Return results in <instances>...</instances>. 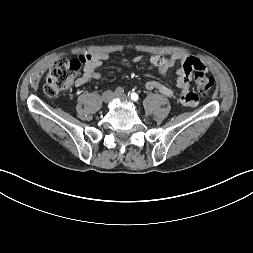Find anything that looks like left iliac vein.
Wrapping results in <instances>:
<instances>
[{"label": "left iliac vein", "mask_w": 253, "mask_h": 253, "mask_svg": "<svg viewBox=\"0 0 253 253\" xmlns=\"http://www.w3.org/2000/svg\"><path fill=\"white\" fill-rule=\"evenodd\" d=\"M115 97L121 99L122 101H127L129 99L125 94L116 95Z\"/></svg>", "instance_id": "left-iliac-vein-1"}]
</instances>
